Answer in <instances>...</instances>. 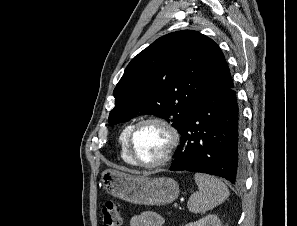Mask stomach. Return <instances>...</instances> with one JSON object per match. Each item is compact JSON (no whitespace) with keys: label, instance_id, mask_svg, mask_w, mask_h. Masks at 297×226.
Listing matches in <instances>:
<instances>
[{"label":"stomach","instance_id":"0dacf381","mask_svg":"<svg viewBox=\"0 0 297 226\" xmlns=\"http://www.w3.org/2000/svg\"><path fill=\"white\" fill-rule=\"evenodd\" d=\"M101 181L106 191L122 200L140 205H165L179 196V184L169 177L129 175L105 170Z\"/></svg>","mask_w":297,"mask_h":226}]
</instances>
